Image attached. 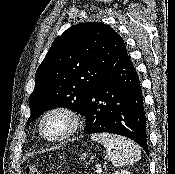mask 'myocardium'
<instances>
[{
    "mask_svg": "<svg viewBox=\"0 0 175 174\" xmlns=\"http://www.w3.org/2000/svg\"><path fill=\"white\" fill-rule=\"evenodd\" d=\"M53 114H63L66 117H68L70 121L69 128L63 134L56 137L47 136L43 130L44 121L50 115ZM80 126H81V115L77 110H75L70 106L58 105L50 108L42 115L39 121V133L44 139H46L49 142H61L73 136L78 131Z\"/></svg>",
    "mask_w": 175,
    "mask_h": 174,
    "instance_id": "f54148a6",
    "label": "myocardium"
}]
</instances>
